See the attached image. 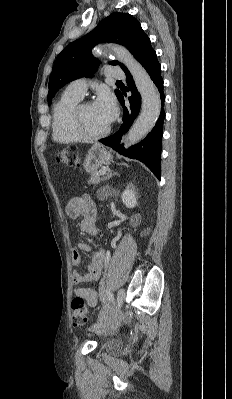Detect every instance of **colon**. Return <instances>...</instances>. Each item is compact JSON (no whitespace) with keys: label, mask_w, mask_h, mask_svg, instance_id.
Returning <instances> with one entry per match:
<instances>
[{"label":"colon","mask_w":232,"mask_h":399,"mask_svg":"<svg viewBox=\"0 0 232 399\" xmlns=\"http://www.w3.org/2000/svg\"><path fill=\"white\" fill-rule=\"evenodd\" d=\"M61 159H64V165L66 166H75L78 165L79 160V148H74L73 153V145H68V150H65V154H61L56 156V163L60 164ZM74 301H83V296H74ZM73 308H81V315L80 310H71V327H76V325H81V331H86V306L84 303H73ZM107 324H119L120 318L119 317H107L106 318ZM105 335L111 334L110 328L104 329Z\"/></svg>","instance_id":"1"}]
</instances>
